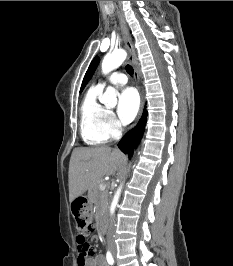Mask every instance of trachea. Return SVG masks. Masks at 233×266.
<instances>
[{
  "label": "trachea",
  "instance_id": "obj_1",
  "mask_svg": "<svg viewBox=\"0 0 233 266\" xmlns=\"http://www.w3.org/2000/svg\"><path fill=\"white\" fill-rule=\"evenodd\" d=\"M126 71H127V73H128L129 75H133V73H134L133 68H132L129 64L126 65Z\"/></svg>",
  "mask_w": 233,
  "mask_h": 266
}]
</instances>
